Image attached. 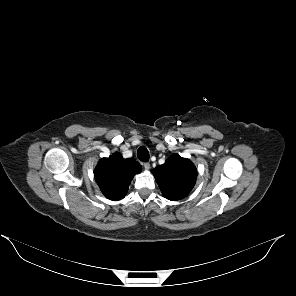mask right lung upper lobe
Instances as JSON below:
<instances>
[{
    "label": "right lung upper lobe",
    "instance_id": "right-lung-upper-lobe-1",
    "mask_svg": "<svg viewBox=\"0 0 296 296\" xmlns=\"http://www.w3.org/2000/svg\"><path fill=\"white\" fill-rule=\"evenodd\" d=\"M141 171L142 167L135 159H123L122 155L116 152L111 158L99 160L94 176L102 193L108 199L120 200L127 194L134 175Z\"/></svg>",
    "mask_w": 296,
    "mask_h": 296
}]
</instances>
